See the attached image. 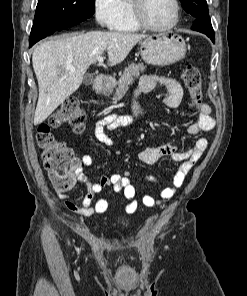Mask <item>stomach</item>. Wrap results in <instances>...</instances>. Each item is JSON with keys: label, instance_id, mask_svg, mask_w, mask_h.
<instances>
[{"label": "stomach", "instance_id": "obj_1", "mask_svg": "<svg viewBox=\"0 0 247 296\" xmlns=\"http://www.w3.org/2000/svg\"><path fill=\"white\" fill-rule=\"evenodd\" d=\"M140 52L147 64L167 66L185 57L186 44L181 35L169 31L147 36L141 42Z\"/></svg>", "mask_w": 247, "mask_h": 296}]
</instances>
